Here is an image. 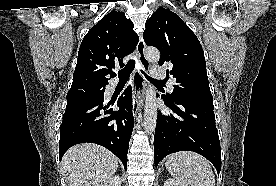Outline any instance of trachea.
<instances>
[{
  "label": "trachea",
  "instance_id": "1",
  "mask_svg": "<svg viewBox=\"0 0 276 186\" xmlns=\"http://www.w3.org/2000/svg\"><path fill=\"white\" fill-rule=\"evenodd\" d=\"M134 67H135V60L131 59L127 63V65L122 70H120L118 72L119 81H127L129 79L130 74L133 71ZM141 72L144 74V76L147 78V80H149L151 82L162 83V81L153 79L150 76H148L143 70H141Z\"/></svg>",
  "mask_w": 276,
  "mask_h": 186
}]
</instances>
